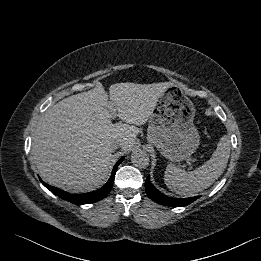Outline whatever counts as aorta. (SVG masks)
Returning a JSON list of instances; mask_svg holds the SVG:
<instances>
[{"mask_svg": "<svg viewBox=\"0 0 261 261\" xmlns=\"http://www.w3.org/2000/svg\"><path fill=\"white\" fill-rule=\"evenodd\" d=\"M131 161L138 168H146L149 165V155L143 150H135L131 154Z\"/></svg>", "mask_w": 261, "mask_h": 261, "instance_id": "obj_1", "label": "aorta"}]
</instances>
